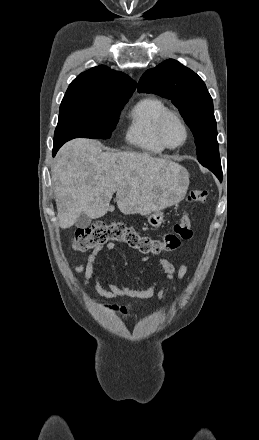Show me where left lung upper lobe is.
Returning <instances> with one entry per match:
<instances>
[{
  "label": "left lung upper lobe",
  "mask_w": 259,
  "mask_h": 440,
  "mask_svg": "<svg viewBox=\"0 0 259 440\" xmlns=\"http://www.w3.org/2000/svg\"><path fill=\"white\" fill-rule=\"evenodd\" d=\"M138 91L172 100L194 135L198 161L218 178L222 177L213 101L202 79L170 59L147 70L139 81Z\"/></svg>",
  "instance_id": "obj_1"
}]
</instances>
